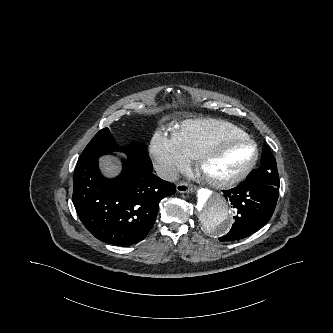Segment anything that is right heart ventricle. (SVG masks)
Returning <instances> with one entry per match:
<instances>
[{"label":"right heart ventricle","instance_id":"right-heart-ventricle-1","mask_svg":"<svg viewBox=\"0 0 333 333\" xmlns=\"http://www.w3.org/2000/svg\"><path fill=\"white\" fill-rule=\"evenodd\" d=\"M226 134L248 136L236 125L210 118L188 120L178 128L172 129L173 140L189 160H193L212 139Z\"/></svg>","mask_w":333,"mask_h":333}]
</instances>
